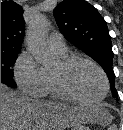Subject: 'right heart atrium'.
<instances>
[{
	"label": "right heart atrium",
	"mask_w": 123,
	"mask_h": 130,
	"mask_svg": "<svg viewBox=\"0 0 123 130\" xmlns=\"http://www.w3.org/2000/svg\"><path fill=\"white\" fill-rule=\"evenodd\" d=\"M15 81L22 92L30 96H43L45 90L44 69L29 51L18 56L14 66Z\"/></svg>",
	"instance_id": "d8ad5b80"
}]
</instances>
